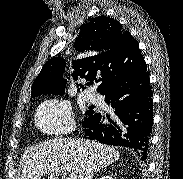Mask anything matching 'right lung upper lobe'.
Wrapping results in <instances>:
<instances>
[{"mask_svg":"<svg viewBox=\"0 0 183 179\" xmlns=\"http://www.w3.org/2000/svg\"><path fill=\"white\" fill-rule=\"evenodd\" d=\"M74 48L79 58L73 61V78L95 80L99 83L98 92L133 74L144 63L137 41L115 19L106 16L89 19L81 28ZM64 71L63 58L47 61L31 87L32 96L64 94L67 83Z\"/></svg>","mask_w":183,"mask_h":179,"instance_id":"cb5924a9","label":"right lung upper lobe"}]
</instances>
